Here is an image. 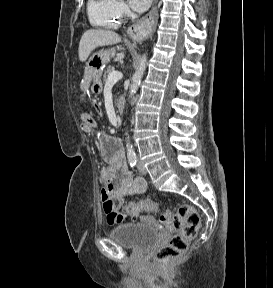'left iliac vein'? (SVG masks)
<instances>
[{"label":"left iliac vein","mask_w":273,"mask_h":288,"mask_svg":"<svg viewBox=\"0 0 273 288\" xmlns=\"http://www.w3.org/2000/svg\"><path fill=\"white\" fill-rule=\"evenodd\" d=\"M137 167H138V170L140 173H142V174L147 173L146 168L144 167L143 163L141 162V160L139 158L137 159Z\"/></svg>","instance_id":"4c4485c4"}]
</instances>
